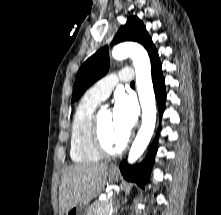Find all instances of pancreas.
Here are the masks:
<instances>
[{"label":"pancreas","instance_id":"1","mask_svg":"<svg viewBox=\"0 0 221 215\" xmlns=\"http://www.w3.org/2000/svg\"><path fill=\"white\" fill-rule=\"evenodd\" d=\"M109 210V200H96L89 208L88 215H108Z\"/></svg>","mask_w":221,"mask_h":215}]
</instances>
